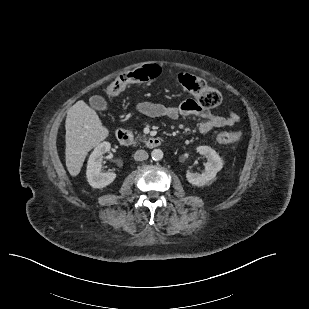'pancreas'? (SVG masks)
I'll return each instance as SVG.
<instances>
[{"instance_id":"cf45deb5","label":"pancreas","mask_w":309,"mask_h":309,"mask_svg":"<svg viewBox=\"0 0 309 309\" xmlns=\"http://www.w3.org/2000/svg\"><path fill=\"white\" fill-rule=\"evenodd\" d=\"M137 138H138V140H140V141L146 139V137H145L144 135L142 136V135H140V134H138Z\"/></svg>"}]
</instances>
